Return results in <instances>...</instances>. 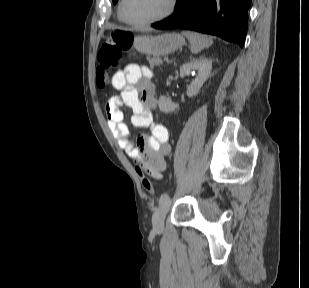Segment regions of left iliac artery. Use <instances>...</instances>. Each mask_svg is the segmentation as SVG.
I'll use <instances>...</instances> for the list:
<instances>
[{"label": "left iliac artery", "mask_w": 309, "mask_h": 288, "mask_svg": "<svg viewBox=\"0 0 309 288\" xmlns=\"http://www.w3.org/2000/svg\"><path fill=\"white\" fill-rule=\"evenodd\" d=\"M165 200H170V198H169V196L167 194L162 195L160 197V199H159V202L161 203V202H163Z\"/></svg>", "instance_id": "1"}]
</instances>
